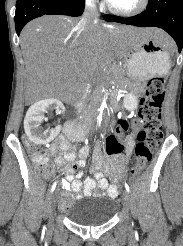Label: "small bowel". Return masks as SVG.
Masks as SVG:
<instances>
[{
    "label": "small bowel",
    "instance_id": "1",
    "mask_svg": "<svg viewBox=\"0 0 183 246\" xmlns=\"http://www.w3.org/2000/svg\"><path fill=\"white\" fill-rule=\"evenodd\" d=\"M80 133L85 132L80 130ZM123 147H126L124 157H107L103 155L101 151H94V164L92 166L93 177L87 178L83 183L81 179L84 177L83 171L76 172L79 168H83L86 165V159L89 156V149L83 147L78 151V159H76V153L70 146L68 137L59 136L55 145L52 147V152L57 159V164L62 173L65 174V180L62 182V187L65 190H70L76 194L77 198L89 195L96 186L107 190L111 197H115L118 194V188L115 182L121 177L124 172L133 148L135 146V140L132 135H127L124 138H118ZM69 162L70 164H66ZM105 170L108 173V178L104 176L101 170ZM71 196L69 194L61 195V206L67 208L71 203Z\"/></svg>",
    "mask_w": 183,
    "mask_h": 246
}]
</instances>
